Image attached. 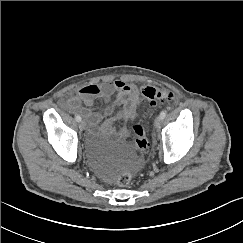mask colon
<instances>
[{"mask_svg":"<svg viewBox=\"0 0 243 243\" xmlns=\"http://www.w3.org/2000/svg\"><path fill=\"white\" fill-rule=\"evenodd\" d=\"M142 101L151 105H166L172 102L174 96L172 92L160 89L153 85H145L141 88ZM150 125L147 122L136 123L133 126L134 139L131 142L132 147L141 155L150 153L153 150L149 143ZM132 181V175L129 171H123L117 178V185L119 187H126Z\"/></svg>","mask_w":243,"mask_h":243,"instance_id":"1","label":"colon"}]
</instances>
